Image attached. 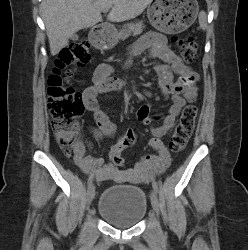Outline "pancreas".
Wrapping results in <instances>:
<instances>
[{"mask_svg":"<svg viewBox=\"0 0 248 250\" xmlns=\"http://www.w3.org/2000/svg\"><path fill=\"white\" fill-rule=\"evenodd\" d=\"M144 25L142 21H138L136 23H128L124 26L123 30L116 33L115 36L117 39H126L131 34L139 35L142 33Z\"/></svg>","mask_w":248,"mask_h":250,"instance_id":"cf45deb5","label":"pancreas"}]
</instances>
